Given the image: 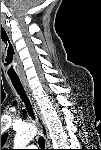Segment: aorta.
I'll return each instance as SVG.
<instances>
[{"mask_svg": "<svg viewBox=\"0 0 101 150\" xmlns=\"http://www.w3.org/2000/svg\"><path fill=\"white\" fill-rule=\"evenodd\" d=\"M37 128L32 125H28L20 129L14 138V147L21 149L26 147L29 142L36 136Z\"/></svg>", "mask_w": 101, "mask_h": 150, "instance_id": "aorta-1", "label": "aorta"}]
</instances>
